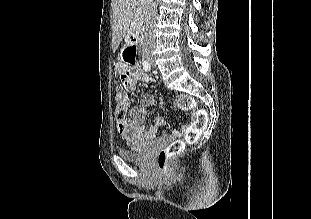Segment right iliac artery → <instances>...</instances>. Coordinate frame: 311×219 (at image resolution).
I'll list each match as a JSON object with an SVG mask.
<instances>
[{
	"label": "right iliac artery",
	"instance_id": "right-iliac-artery-1",
	"mask_svg": "<svg viewBox=\"0 0 311 219\" xmlns=\"http://www.w3.org/2000/svg\"><path fill=\"white\" fill-rule=\"evenodd\" d=\"M143 68L145 71H150L151 70V65L148 61L143 62Z\"/></svg>",
	"mask_w": 311,
	"mask_h": 219
}]
</instances>
